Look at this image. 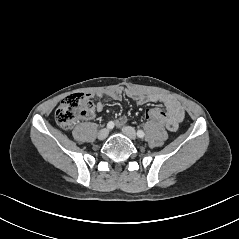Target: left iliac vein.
Returning <instances> with one entry per match:
<instances>
[{"label": "left iliac vein", "instance_id": "left-iliac-vein-1", "mask_svg": "<svg viewBox=\"0 0 239 239\" xmlns=\"http://www.w3.org/2000/svg\"><path fill=\"white\" fill-rule=\"evenodd\" d=\"M122 132L131 140H135L137 138L135 129L130 126L123 127Z\"/></svg>", "mask_w": 239, "mask_h": 239}]
</instances>
